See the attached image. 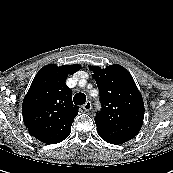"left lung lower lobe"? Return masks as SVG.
Here are the masks:
<instances>
[{"label": "left lung lower lobe", "mask_w": 173, "mask_h": 173, "mask_svg": "<svg viewBox=\"0 0 173 173\" xmlns=\"http://www.w3.org/2000/svg\"><path fill=\"white\" fill-rule=\"evenodd\" d=\"M98 134H99V136H100L104 141H106V142H108V143L115 144V145L122 144L121 142L116 141V140L111 139V138H108V137L105 136V135H102V134H100V133H98Z\"/></svg>", "instance_id": "0a47b994"}]
</instances>
